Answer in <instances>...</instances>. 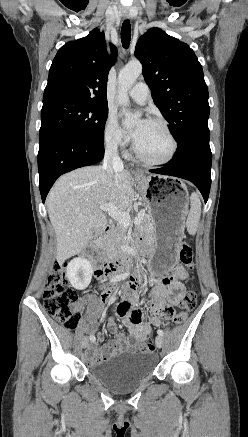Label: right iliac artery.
I'll return each mask as SVG.
<instances>
[{"label": "right iliac artery", "mask_w": 248, "mask_h": 437, "mask_svg": "<svg viewBox=\"0 0 248 437\" xmlns=\"http://www.w3.org/2000/svg\"><path fill=\"white\" fill-rule=\"evenodd\" d=\"M128 275H129V273H124V274L118 275V276H116V277H113V278L111 279V281H112V282L120 281V280H122V279H125ZM90 340L94 342V341H95V337H94L93 335H90Z\"/></svg>", "instance_id": "1"}]
</instances>
